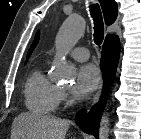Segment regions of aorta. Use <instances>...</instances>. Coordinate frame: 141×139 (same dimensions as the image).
<instances>
[{"label": "aorta", "mask_w": 141, "mask_h": 139, "mask_svg": "<svg viewBox=\"0 0 141 139\" xmlns=\"http://www.w3.org/2000/svg\"><path fill=\"white\" fill-rule=\"evenodd\" d=\"M85 31L84 19L73 14L69 16L60 27L56 36V78L61 80H71L74 72L66 63L65 55L73 48ZM110 133L109 114L104 112L100 121L99 139H108Z\"/></svg>", "instance_id": "obj_1"}]
</instances>
